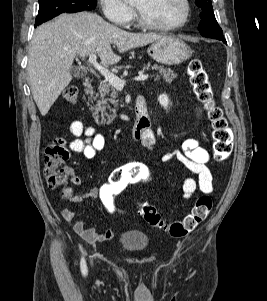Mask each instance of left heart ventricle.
Masks as SVG:
<instances>
[{"label": "left heart ventricle", "mask_w": 267, "mask_h": 301, "mask_svg": "<svg viewBox=\"0 0 267 301\" xmlns=\"http://www.w3.org/2000/svg\"><path fill=\"white\" fill-rule=\"evenodd\" d=\"M133 6L145 18L159 25L177 23L184 14L182 0H134Z\"/></svg>", "instance_id": "obj_1"}]
</instances>
